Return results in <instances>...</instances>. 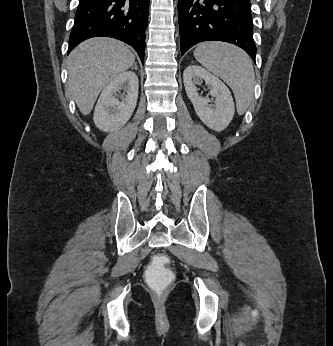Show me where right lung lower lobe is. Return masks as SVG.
Segmentation results:
<instances>
[{
	"label": "right lung lower lobe",
	"mask_w": 333,
	"mask_h": 346,
	"mask_svg": "<svg viewBox=\"0 0 333 346\" xmlns=\"http://www.w3.org/2000/svg\"><path fill=\"white\" fill-rule=\"evenodd\" d=\"M148 5L149 0H79L68 54L88 38L105 36L132 46L144 63Z\"/></svg>",
	"instance_id": "1"
}]
</instances>
